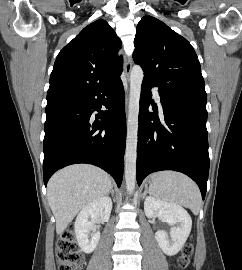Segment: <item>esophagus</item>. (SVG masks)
Masks as SVG:
<instances>
[{
	"mask_svg": "<svg viewBox=\"0 0 242 270\" xmlns=\"http://www.w3.org/2000/svg\"><path fill=\"white\" fill-rule=\"evenodd\" d=\"M131 68H132V59L128 58L125 60V63H124V73L126 75L127 80H129ZM126 104H128V97L126 99Z\"/></svg>",
	"mask_w": 242,
	"mask_h": 270,
	"instance_id": "obj_1",
	"label": "esophagus"
}]
</instances>
